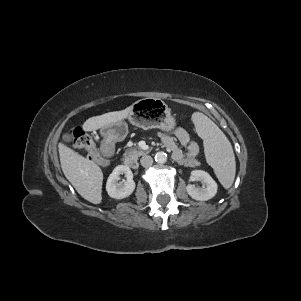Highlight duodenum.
<instances>
[{
  "instance_id": "duodenum-1",
  "label": "duodenum",
  "mask_w": 301,
  "mask_h": 301,
  "mask_svg": "<svg viewBox=\"0 0 301 301\" xmlns=\"http://www.w3.org/2000/svg\"><path fill=\"white\" fill-rule=\"evenodd\" d=\"M115 144L113 143L112 140H105L104 143L102 144V147L100 149V157L103 159V160H106V161H113L115 158H116V151H115ZM125 165L128 167V168H135L136 167V162L132 159H127L125 161Z\"/></svg>"
}]
</instances>
